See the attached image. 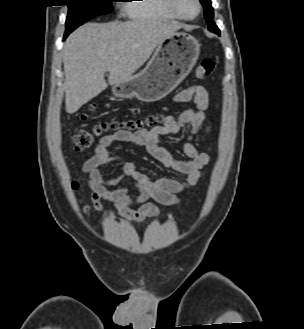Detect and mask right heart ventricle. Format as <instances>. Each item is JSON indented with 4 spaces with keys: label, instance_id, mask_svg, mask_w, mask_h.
Returning a JSON list of instances; mask_svg holds the SVG:
<instances>
[{
    "label": "right heart ventricle",
    "instance_id": "obj_1",
    "mask_svg": "<svg viewBox=\"0 0 304 329\" xmlns=\"http://www.w3.org/2000/svg\"><path fill=\"white\" fill-rule=\"evenodd\" d=\"M125 8L133 19L158 21L175 19L168 11L164 0H130L129 3L125 4Z\"/></svg>",
    "mask_w": 304,
    "mask_h": 329
}]
</instances>
